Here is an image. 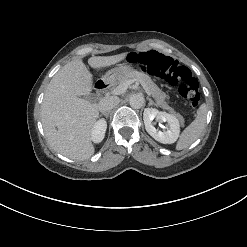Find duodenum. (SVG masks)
Wrapping results in <instances>:
<instances>
[{
	"mask_svg": "<svg viewBox=\"0 0 247 247\" xmlns=\"http://www.w3.org/2000/svg\"><path fill=\"white\" fill-rule=\"evenodd\" d=\"M94 89L98 94H102L106 91L107 85L104 81L98 80L94 83Z\"/></svg>",
	"mask_w": 247,
	"mask_h": 247,
	"instance_id": "1",
	"label": "duodenum"
}]
</instances>
